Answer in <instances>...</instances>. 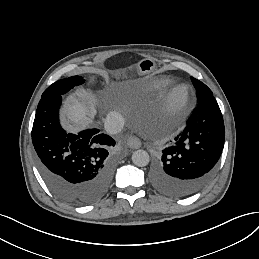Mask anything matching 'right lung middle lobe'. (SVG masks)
Returning <instances> with one entry per match:
<instances>
[{"mask_svg": "<svg viewBox=\"0 0 259 259\" xmlns=\"http://www.w3.org/2000/svg\"><path fill=\"white\" fill-rule=\"evenodd\" d=\"M84 83V79L81 76H72L56 81L50 85L42 94V98L62 96L75 86Z\"/></svg>", "mask_w": 259, "mask_h": 259, "instance_id": "1", "label": "right lung middle lobe"}]
</instances>
